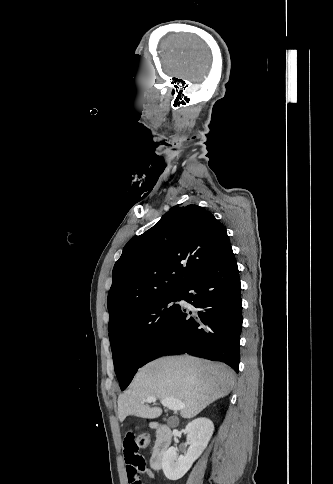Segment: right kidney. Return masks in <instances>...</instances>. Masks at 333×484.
<instances>
[{"label":"right kidney","mask_w":333,"mask_h":484,"mask_svg":"<svg viewBox=\"0 0 333 484\" xmlns=\"http://www.w3.org/2000/svg\"><path fill=\"white\" fill-rule=\"evenodd\" d=\"M190 446L185 456H178L175 447H170L163 455L162 469L167 479L176 481L182 478L196 459L203 453L214 431L213 422L207 418H197L185 428Z\"/></svg>","instance_id":"1"}]
</instances>
